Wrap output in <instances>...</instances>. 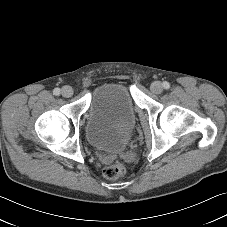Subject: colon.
<instances>
[{"label": "colon", "mask_w": 227, "mask_h": 227, "mask_svg": "<svg viewBox=\"0 0 227 227\" xmlns=\"http://www.w3.org/2000/svg\"><path fill=\"white\" fill-rule=\"evenodd\" d=\"M125 172L124 166L116 162L114 164L108 165L103 169V176L108 180H114L122 176Z\"/></svg>", "instance_id": "colon-1"}]
</instances>
